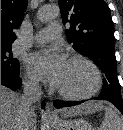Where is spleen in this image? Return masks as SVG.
<instances>
[{"mask_svg":"<svg viewBox=\"0 0 123 130\" xmlns=\"http://www.w3.org/2000/svg\"><path fill=\"white\" fill-rule=\"evenodd\" d=\"M100 130H123V122L112 107H105V116Z\"/></svg>","mask_w":123,"mask_h":130,"instance_id":"obj_1","label":"spleen"}]
</instances>
